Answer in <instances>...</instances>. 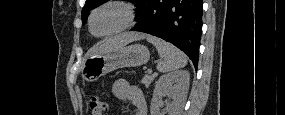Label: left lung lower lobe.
I'll return each mask as SVG.
<instances>
[{
    "mask_svg": "<svg viewBox=\"0 0 285 115\" xmlns=\"http://www.w3.org/2000/svg\"><path fill=\"white\" fill-rule=\"evenodd\" d=\"M201 0H143L131 29L164 39L181 49L198 66L202 32Z\"/></svg>",
    "mask_w": 285,
    "mask_h": 115,
    "instance_id": "1",
    "label": "left lung lower lobe"
}]
</instances>
